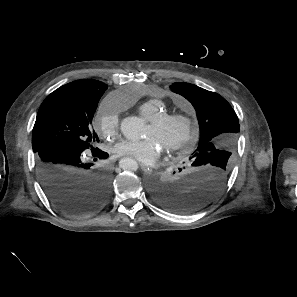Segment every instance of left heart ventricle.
Instances as JSON below:
<instances>
[{
  "mask_svg": "<svg viewBox=\"0 0 297 297\" xmlns=\"http://www.w3.org/2000/svg\"><path fill=\"white\" fill-rule=\"evenodd\" d=\"M184 132L183 124H171L165 129L155 130L151 124L148 125L147 137H154L160 145L165 148L169 143L178 140Z\"/></svg>",
  "mask_w": 297,
  "mask_h": 297,
  "instance_id": "b2bd125f",
  "label": "left heart ventricle"
}]
</instances>
